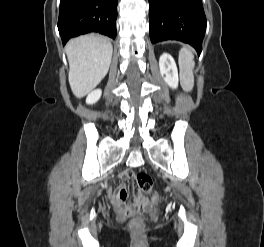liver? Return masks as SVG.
<instances>
[{"label":"liver","instance_id":"6515ba94","mask_svg":"<svg viewBox=\"0 0 264 247\" xmlns=\"http://www.w3.org/2000/svg\"><path fill=\"white\" fill-rule=\"evenodd\" d=\"M69 61V84L73 94L82 98L92 91L108 73L112 59V45L97 35H83L66 45Z\"/></svg>","mask_w":264,"mask_h":247}]
</instances>
